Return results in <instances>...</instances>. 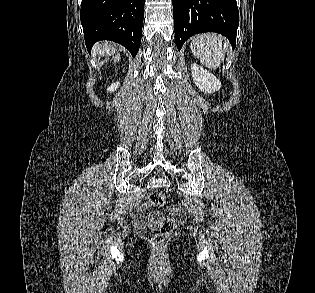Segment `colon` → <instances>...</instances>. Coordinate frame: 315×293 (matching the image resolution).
Returning a JSON list of instances; mask_svg holds the SVG:
<instances>
[{
	"instance_id": "5ec220e1",
	"label": "colon",
	"mask_w": 315,
	"mask_h": 293,
	"mask_svg": "<svg viewBox=\"0 0 315 293\" xmlns=\"http://www.w3.org/2000/svg\"><path fill=\"white\" fill-rule=\"evenodd\" d=\"M149 203L154 206H162L166 201L164 193L154 191L149 194ZM172 217H164L157 223L158 233L154 235L153 242L156 245L164 243L167 238L174 232L177 224L185 219V212L179 208L171 207Z\"/></svg>"
}]
</instances>
